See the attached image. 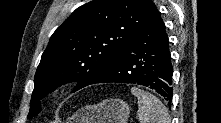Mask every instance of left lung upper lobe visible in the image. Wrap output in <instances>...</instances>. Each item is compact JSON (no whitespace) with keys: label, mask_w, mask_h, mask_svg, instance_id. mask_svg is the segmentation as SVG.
Masks as SVG:
<instances>
[{"label":"left lung upper lobe","mask_w":221,"mask_h":123,"mask_svg":"<svg viewBox=\"0 0 221 123\" xmlns=\"http://www.w3.org/2000/svg\"><path fill=\"white\" fill-rule=\"evenodd\" d=\"M158 12L151 0H93L77 8L50 38L34 78L28 118L58 86L89 84L112 63Z\"/></svg>","instance_id":"5c2ea615"}]
</instances>
